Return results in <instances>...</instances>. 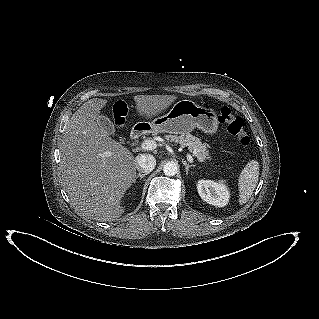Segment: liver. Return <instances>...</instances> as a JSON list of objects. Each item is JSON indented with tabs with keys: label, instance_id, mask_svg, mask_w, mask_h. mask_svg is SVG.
<instances>
[{
	"label": "liver",
	"instance_id": "obj_1",
	"mask_svg": "<svg viewBox=\"0 0 319 319\" xmlns=\"http://www.w3.org/2000/svg\"><path fill=\"white\" fill-rule=\"evenodd\" d=\"M174 95L134 97L139 116L158 115L176 100ZM107 100L93 98L71 117L60 144L61 182L78 215L96 221L122 216L121 199L136 178L137 157L113 140L97 118Z\"/></svg>",
	"mask_w": 319,
	"mask_h": 319
}]
</instances>
